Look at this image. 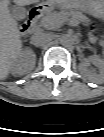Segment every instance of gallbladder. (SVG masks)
Returning <instances> with one entry per match:
<instances>
[{
  "instance_id": "gallbladder-1",
  "label": "gallbladder",
  "mask_w": 104,
  "mask_h": 137,
  "mask_svg": "<svg viewBox=\"0 0 104 137\" xmlns=\"http://www.w3.org/2000/svg\"><path fill=\"white\" fill-rule=\"evenodd\" d=\"M11 14L14 18L16 19H24L26 14H27V10L24 7H14L11 10Z\"/></svg>"
}]
</instances>
